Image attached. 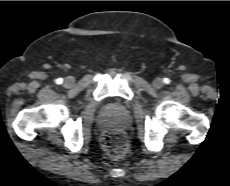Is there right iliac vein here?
Returning a JSON list of instances; mask_svg holds the SVG:
<instances>
[{"instance_id": "obj_1", "label": "right iliac vein", "mask_w": 230, "mask_h": 186, "mask_svg": "<svg viewBox=\"0 0 230 186\" xmlns=\"http://www.w3.org/2000/svg\"><path fill=\"white\" fill-rule=\"evenodd\" d=\"M74 84V78L73 77H66L64 80V85L66 87H71Z\"/></svg>"}]
</instances>
